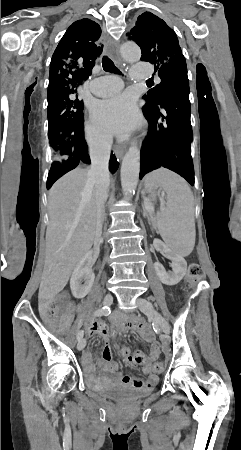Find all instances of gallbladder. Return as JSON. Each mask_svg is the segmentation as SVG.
<instances>
[{"label":"gallbladder","mask_w":241,"mask_h":450,"mask_svg":"<svg viewBox=\"0 0 241 450\" xmlns=\"http://www.w3.org/2000/svg\"><path fill=\"white\" fill-rule=\"evenodd\" d=\"M61 297H62V298H65V297H66V294H65V293H62V294H61Z\"/></svg>","instance_id":"gallbladder-1"}]
</instances>
